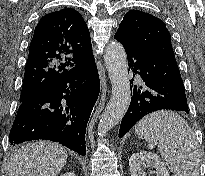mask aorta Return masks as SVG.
I'll use <instances>...</instances> for the list:
<instances>
[{
  "label": "aorta",
  "instance_id": "762f6f07",
  "mask_svg": "<svg viewBox=\"0 0 205 176\" xmlns=\"http://www.w3.org/2000/svg\"><path fill=\"white\" fill-rule=\"evenodd\" d=\"M104 60L112 85V96L98 124V135L100 136L105 135L123 118L131 100L124 47L115 41L108 44Z\"/></svg>",
  "mask_w": 205,
  "mask_h": 176
}]
</instances>
